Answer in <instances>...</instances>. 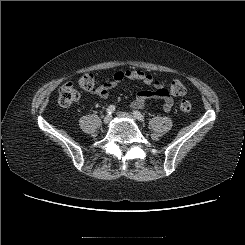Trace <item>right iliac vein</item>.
Returning a JSON list of instances; mask_svg holds the SVG:
<instances>
[{
  "mask_svg": "<svg viewBox=\"0 0 245 245\" xmlns=\"http://www.w3.org/2000/svg\"><path fill=\"white\" fill-rule=\"evenodd\" d=\"M111 120H112V116L111 115H106L105 117H104V123L105 124H108V123H110L111 122Z\"/></svg>",
  "mask_w": 245,
  "mask_h": 245,
  "instance_id": "1",
  "label": "right iliac vein"
}]
</instances>
